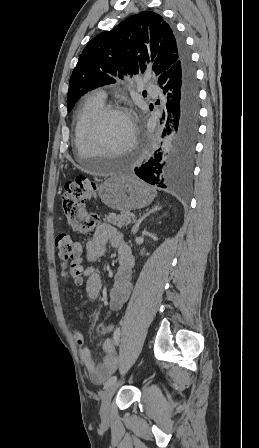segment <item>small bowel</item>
I'll return each instance as SVG.
<instances>
[{"label":"small bowel","instance_id":"1","mask_svg":"<svg viewBox=\"0 0 259 448\" xmlns=\"http://www.w3.org/2000/svg\"><path fill=\"white\" fill-rule=\"evenodd\" d=\"M110 241L112 247L118 251V267L114 275V284L109 295L110 311L119 310L128 300L132 292V275L135 264L134 256L127 244L123 234L117 231L112 225L107 223L100 224L93 237L87 242L85 247V261L92 263L106 253V245ZM83 278L86 279V293L89 299L98 298L102 283L100 274L94 266H87L82 271ZM73 320V318H72ZM112 324L103 321L96 329L101 335H107L113 331ZM74 338L80 345L79 355L88 370L89 377L94 383L103 382L117 368V356L111 339L106 338L103 343L104 356L98 361L85 346L83 334L77 330L74 331Z\"/></svg>","mask_w":259,"mask_h":448}]
</instances>
